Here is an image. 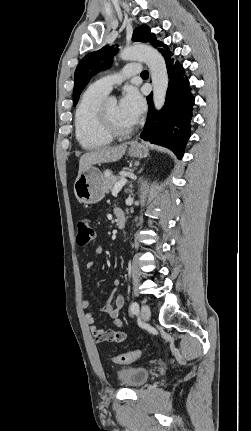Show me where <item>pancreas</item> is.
I'll return each mask as SVG.
<instances>
[{
    "label": "pancreas",
    "instance_id": "cf45deb5",
    "mask_svg": "<svg viewBox=\"0 0 251 431\" xmlns=\"http://www.w3.org/2000/svg\"><path fill=\"white\" fill-rule=\"evenodd\" d=\"M126 174L127 173L125 171H122L119 176H113L111 171H106L104 175L106 182V192L111 191L115 183L124 178Z\"/></svg>",
    "mask_w": 251,
    "mask_h": 431
}]
</instances>
